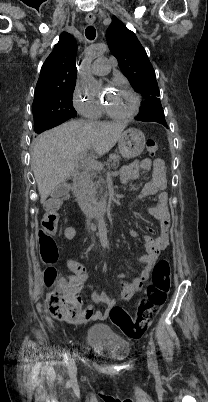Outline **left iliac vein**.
Here are the masks:
<instances>
[{"instance_id":"4c4485c4","label":"left iliac vein","mask_w":208,"mask_h":402,"mask_svg":"<svg viewBox=\"0 0 208 402\" xmlns=\"http://www.w3.org/2000/svg\"><path fill=\"white\" fill-rule=\"evenodd\" d=\"M147 359H148V364L153 365L154 364V357L150 351V349L147 350Z\"/></svg>"}]
</instances>
